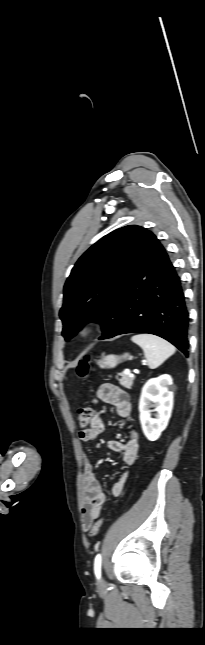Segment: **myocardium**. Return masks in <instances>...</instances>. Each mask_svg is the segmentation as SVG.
<instances>
[{
    "instance_id": "myocardium-1",
    "label": "myocardium",
    "mask_w": 205,
    "mask_h": 645,
    "mask_svg": "<svg viewBox=\"0 0 205 645\" xmlns=\"http://www.w3.org/2000/svg\"><path fill=\"white\" fill-rule=\"evenodd\" d=\"M93 332H94V326L92 324L87 323V324H85V325H83L81 327V329L79 331V335L81 337L86 338V337L91 336L93 334Z\"/></svg>"
}]
</instances>
